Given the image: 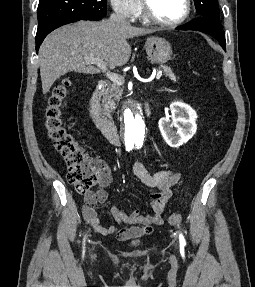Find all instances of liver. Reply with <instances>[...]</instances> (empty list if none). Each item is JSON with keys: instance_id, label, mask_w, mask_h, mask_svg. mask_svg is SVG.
I'll list each match as a JSON object with an SVG mask.
<instances>
[{"instance_id": "obj_1", "label": "liver", "mask_w": 255, "mask_h": 287, "mask_svg": "<svg viewBox=\"0 0 255 287\" xmlns=\"http://www.w3.org/2000/svg\"><path fill=\"white\" fill-rule=\"evenodd\" d=\"M156 30L135 28L111 22H76L62 26L45 38L40 50V76L43 94L67 72L99 74L101 70L85 64L84 58H102L106 66H125L131 56L127 40L153 34Z\"/></svg>"}]
</instances>
